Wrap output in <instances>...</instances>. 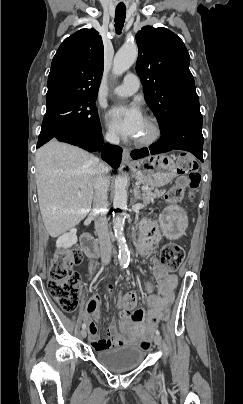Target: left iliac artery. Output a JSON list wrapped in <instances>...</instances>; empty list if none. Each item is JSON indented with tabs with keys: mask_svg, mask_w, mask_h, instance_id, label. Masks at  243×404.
I'll return each mask as SVG.
<instances>
[{
	"mask_svg": "<svg viewBox=\"0 0 243 404\" xmlns=\"http://www.w3.org/2000/svg\"><path fill=\"white\" fill-rule=\"evenodd\" d=\"M156 335H160V332H159V330H156Z\"/></svg>",
	"mask_w": 243,
	"mask_h": 404,
	"instance_id": "left-iliac-artery-1",
	"label": "left iliac artery"
}]
</instances>
